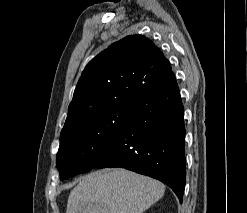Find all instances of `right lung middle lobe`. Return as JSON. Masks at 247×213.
<instances>
[{"instance_id":"1","label":"right lung middle lobe","mask_w":247,"mask_h":213,"mask_svg":"<svg viewBox=\"0 0 247 213\" xmlns=\"http://www.w3.org/2000/svg\"><path fill=\"white\" fill-rule=\"evenodd\" d=\"M130 100L121 101L60 136L56 157L60 179L91 170L104 147L131 113Z\"/></svg>"}]
</instances>
